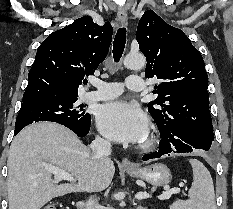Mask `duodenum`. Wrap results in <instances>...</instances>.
<instances>
[{"label":"duodenum","instance_id":"duodenum-1","mask_svg":"<svg viewBox=\"0 0 233 209\" xmlns=\"http://www.w3.org/2000/svg\"><path fill=\"white\" fill-rule=\"evenodd\" d=\"M76 206L78 207V209H84L85 204H84V202H82V201H78V202L76 203Z\"/></svg>","mask_w":233,"mask_h":209}]
</instances>
